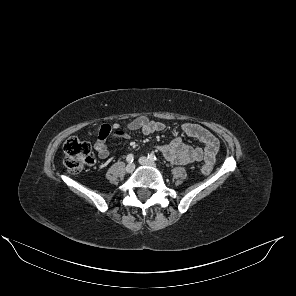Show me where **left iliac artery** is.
Wrapping results in <instances>:
<instances>
[{
	"mask_svg": "<svg viewBox=\"0 0 296 296\" xmlns=\"http://www.w3.org/2000/svg\"><path fill=\"white\" fill-rule=\"evenodd\" d=\"M148 158H149L151 161H157V157H156L153 153L148 154Z\"/></svg>",
	"mask_w": 296,
	"mask_h": 296,
	"instance_id": "44dca946",
	"label": "left iliac artery"
}]
</instances>
